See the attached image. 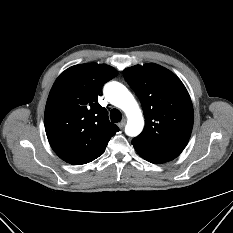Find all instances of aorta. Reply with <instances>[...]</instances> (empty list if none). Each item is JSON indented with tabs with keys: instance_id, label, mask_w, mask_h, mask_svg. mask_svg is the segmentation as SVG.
Segmentation results:
<instances>
[{
	"instance_id": "1",
	"label": "aorta",
	"mask_w": 233,
	"mask_h": 233,
	"mask_svg": "<svg viewBox=\"0 0 233 233\" xmlns=\"http://www.w3.org/2000/svg\"><path fill=\"white\" fill-rule=\"evenodd\" d=\"M106 99L114 106L123 110L128 118L125 132L128 136L139 135L144 126V118L133 95L119 82H109L104 87Z\"/></svg>"
}]
</instances>
